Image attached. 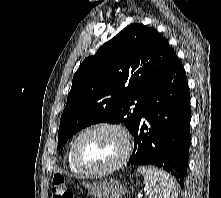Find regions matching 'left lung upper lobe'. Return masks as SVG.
I'll return each mask as SVG.
<instances>
[{
  "label": "left lung upper lobe",
  "mask_w": 221,
  "mask_h": 198,
  "mask_svg": "<svg viewBox=\"0 0 221 198\" xmlns=\"http://www.w3.org/2000/svg\"><path fill=\"white\" fill-rule=\"evenodd\" d=\"M174 54L155 29L134 23L86 58L61 116L58 149L77 131L99 122L124 123L133 133L148 93Z\"/></svg>",
  "instance_id": "left-lung-upper-lobe-1"
}]
</instances>
